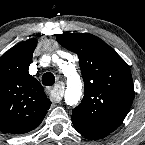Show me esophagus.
Returning a JSON list of instances; mask_svg holds the SVG:
<instances>
[{"label":"esophagus","instance_id":"34e87169","mask_svg":"<svg viewBox=\"0 0 145 145\" xmlns=\"http://www.w3.org/2000/svg\"><path fill=\"white\" fill-rule=\"evenodd\" d=\"M47 90L49 91L50 97L54 102L58 103L62 100L64 88L60 83L53 88H47Z\"/></svg>","mask_w":145,"mask_h":145}]
</instances>
